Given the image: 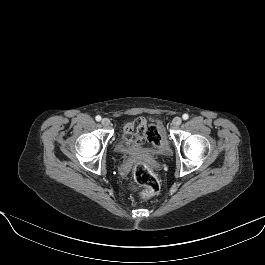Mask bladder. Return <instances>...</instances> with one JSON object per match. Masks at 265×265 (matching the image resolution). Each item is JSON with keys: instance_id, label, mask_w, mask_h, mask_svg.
Here are the masks:
<instances>
[{"instance_id": "bladder-1", "label": "bladder", "mask_w": 265, "mask_h": 265, "mask_svg": "<svg viewBox=\"0 0 265 265\" xmlns=\"http://www.w3.org/2000/svg\"><path fill=\"white\" fill-rule=\"evenodd\" d=\"M131 148H132V143L131 144L125 143L123 137L119 139L116 145V150L123 154L129 152Z\"/></svg>"}]
</instances>
